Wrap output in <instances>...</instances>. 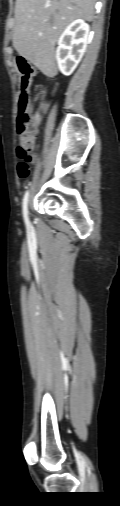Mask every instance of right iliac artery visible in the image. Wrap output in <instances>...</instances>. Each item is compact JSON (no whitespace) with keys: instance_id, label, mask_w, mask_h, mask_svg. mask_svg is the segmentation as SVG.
Instances as JSON below:
<instances>
[{"instance_id":"right-iliac-artery-1","label":"right iliac artery","mask_w":120,"mask_h":506,"mask_svg":"<svg viewBox=\"0 0 120 506\" xmlns=\"http://www.w3.org/2000/svg\"><path fill=\"white\" fill-rule=\"evenodd\" d=\"M28 199H29V191L27 190L25 192V195H24V198H23V204H22L23 217H24V221H25L26 224L29 223V219H28Z\"/></svg>"}]
</instances>
